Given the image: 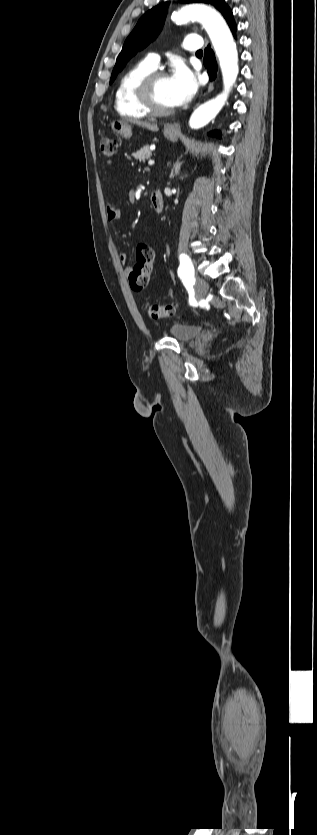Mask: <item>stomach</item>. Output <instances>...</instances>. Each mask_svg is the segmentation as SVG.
Listing matches in <instances>:
<instances>
[{"mask_svg":"<svg viewBox=\"0 0 317 835\" xmlns=\"http://www.w3.org/2000/svg\"><path fill=\"white\" fill-rule=\"evenodd\" d=\"M111 129L114 133L121 135L122 137L129 138L132 135V128L131 125L123 120H115L111 122ZM164 136L172 142H176L180 135L179 132L172 131L166 126L164 128Z\"/></svg>","mask_w":317,"mask_h":835,"instance_id":"0dacf381","label":"stomach"}]
</instances>
